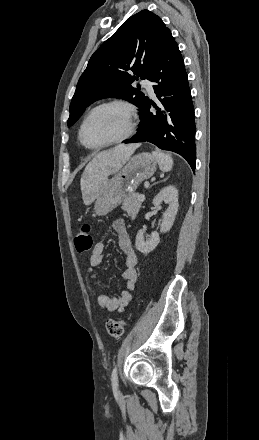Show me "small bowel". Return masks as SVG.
<instances>
[{"mask_svg": "<svg viewBox=\"0 0 259 440\" xmlns=\"http://www.w3.org/2000/svg\"><path fill=\"white\" fill-rule=\"evenodd\" d=\"M112 229L117 235V242L120 250L125 257V268L122 273V279L125 284V288L121 290L119 296L110 297L104 293L98 296V304L103 309L108 311H123L131 300V291L134 289L137 281L136 265L138 258L135 250L132 246L130 236L127 232L126 225L123 219H116L112 222ZM104 243L97 242L91 252L89 258V266L87 273L92 283L101 287V280L99 279L94 268L101 265L103 261Z\"/></svg>", "mask_w": 259, "mask_h": 440, "instance_id": "c3829d8e", "label": "small bowel"}]
</instances>
